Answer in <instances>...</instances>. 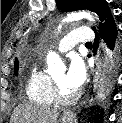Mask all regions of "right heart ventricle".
Returning a JSON list of instances; mask_svg holds the SVG:
<instances>
[{"mask_svg":"<svg viewBox=\"0 0 122 123\" xmlns=\"http://www.w3.org/2000/svg\"><path fill=\"white\" fill-rule=\"evenodd\" d=\"M26 95L37 105H51L54 102L51 77L38 64L34 65L29 72Z\"/></svg>","mask_w":122,"mask_h":123,"instance_id":"1","label":"right heart ventricle"}]
</instances>
